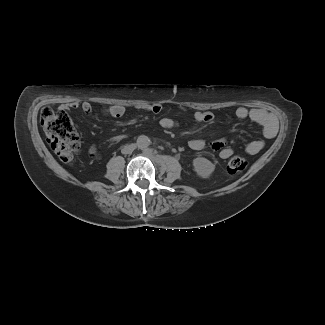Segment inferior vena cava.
<instances>
[{"instance_id": "inferior-vena-cava-1", "label": "inferior vena cava", "mask_w": 325, "mask_h": 325, "mask_svg": "<svg viewBox=\"0 0 325 325\" xmlns=\"http://www.w3.org/2000/svg\"><path fill=\"white\" fill-rule=\"evenodd\" d=\"M136 148L135 144L126 145L122 150V154H131Z\"/></svg>"}]
</instances>
